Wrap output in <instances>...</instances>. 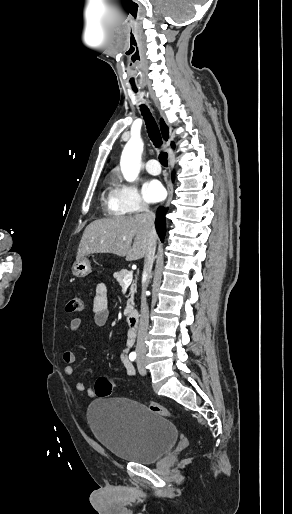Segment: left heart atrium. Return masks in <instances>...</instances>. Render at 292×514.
<instances>
[{
	"label": "left heart atrium",
	"mask_w": 292,
	"mask_h": 514,
	"mask_svg": "<svg viewBox=\"0 0 292 514\" xmlns=\"http://www.w3.org/2000/svg\"><path fill=\"white\" fill-rule=\"evenodd\" d=\"M144 194L148 201L157 202L163 198L164 188L158 181L152 180L145 185Z\"/></svg>",
	"instance_id": "1"
}]
</instances>
